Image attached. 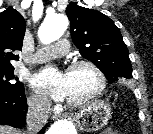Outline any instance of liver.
Returning a JSON list of instances; mask_svg holds the SVG:
<instances>
[{"mask_svg":"<svg viewBox=\"0 0 153 134\" xmlns=\"http://www.w3.org/2000/svg\"><path fill=\"white\" fill-rule=\"evenodd\" d=\"M0 134H21V132L10 126L0 125Z\"/></svg>","mask_w":153,"mask_h":134,"instance_id":"liver-1","label":"liver"}]
</instances>
